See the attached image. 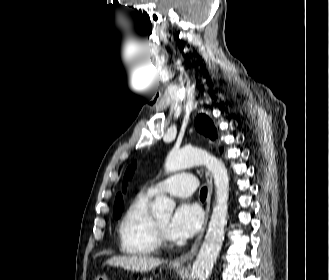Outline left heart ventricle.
Instances as JSON below:
<instances>
[{
	"label": "left heart ventricle",
	"mask_w": 329,
	"mask_h": 280,
	"mask_svg": "<svg viewBox=\"0 0 329 280\" xmlns=\"http://www.w3.org/2000/svg\"><path fill=\"white\" fill-rule=\"evenodd\" d=\"M158 221V223L163 227V229L166 231L167 233V225L170 221V216H161V217H158L156 219Z\"/></svg>",
	"instance_id": "b2bd125f"
}]
</instances>
